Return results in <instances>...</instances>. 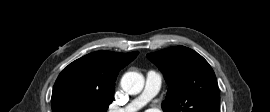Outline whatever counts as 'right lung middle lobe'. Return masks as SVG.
Instances as JSON below:
<instances>
[{"mask_svg":"<svg viewBox=\"0 0 270 112\" xmlns=\"http://www.w3.org/2000/svg\"><path fill=\"white\" fill-rule=\"evenodd\" d=\"M112 100L89 96L73 90L52 97V112H106Z\"/></svg>","mask_w":270,"mask_h":112,"instance_id":"dd1d6c3e","label":"right lung middle lobe"}]
</instances>
